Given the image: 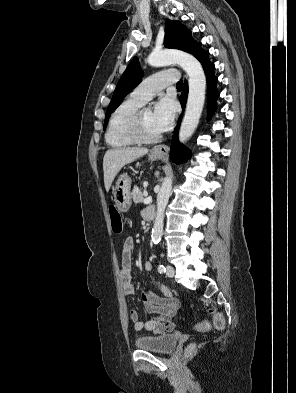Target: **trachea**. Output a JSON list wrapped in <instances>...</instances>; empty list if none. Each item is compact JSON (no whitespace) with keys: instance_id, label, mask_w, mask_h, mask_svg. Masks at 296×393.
I'll return each instance as SVG.
<instances>
[{"instance_id":"obj_1","label":"trachea","mask_w":296,"mask_h":393,"mask_svg":"<svg viewBox=\"0 0 296 393\" xmlns=\"http://www.w3.org/2000/svg\"><path fill=\"white\" fill-rule=\"evenodd\" d=\"M176 86L179 87V88H180V87H183V82H182V81H179V82L176 84Z\"/></svg>"}]
</instances>
